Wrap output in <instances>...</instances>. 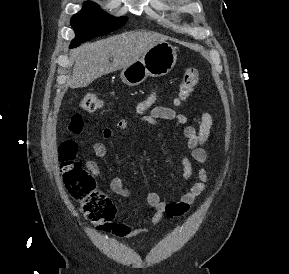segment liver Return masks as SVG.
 Returning a JSON list of instances; mask_svg holds the SVG:
<instances>
[{
	"label": "liver",
	"mask_w": 289,
	"mask_h": 274,
	"mask_svg": "<svg viewBox=\"0 0 289 274\" xmlns=\"http://www.w3.org/2000/svg\"><path fill=\"white\" fill-rule=\"evenodd\" d=\"M162 41L164 38L156 33L126 32L95 43H87L71 54L75 64L70 86L87 87L103 75L124 69ZM110 57H113L112 63L109 62Z\"/></svg>",
	"instance_id": "6515ba94"
}]
</instances>
